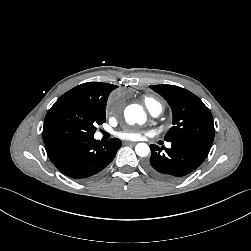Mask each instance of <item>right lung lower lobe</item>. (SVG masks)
<instances>
[{
  "mask_svg": "<svg viewBox=\"0 0 251 251\" xmlns=\"http://www.w3.org/2000/svg\"><path fill=\"white\" fill-rule=\"evenodd\" d=\"M121 145L116 138L100 142L93 136L45 142L52 163L64 175L74 179H85L102 171L114 159Z\"/></svg>",
  "mask_w": 251,
  "mask_h": 251,
  "instance_id": "1",
  "label": "right lung lower lobe"
}]
</instances>
